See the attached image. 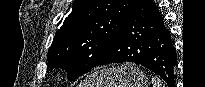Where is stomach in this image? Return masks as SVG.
<instances>
[{
  "label": "stomach",
  "mask_w": 205,
  "mask_h": 87,
  "mask_svg": "<svg viewBox=\"0 0 205 87\" xmlns=\"http://www.w3.org/2000/svg\"><path fill=\"white\" fill-rule=\"evenodd\" d=\"M148 78L138 68L121 65L90 74L80 87H147Z\"/></svg>",
  "instance_id": "obj_1"
}]
</instances>
